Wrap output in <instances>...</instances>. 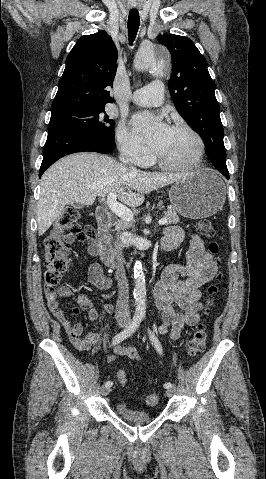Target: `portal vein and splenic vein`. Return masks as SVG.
I'll return each instance as SVG.
<instances>
[{"label":"portal vein and splenic vein","instance_id":"18ae733b","mask_svg":"<svg viewBox=\"0 0 266 479\" xmlns=\"http://www.w3.org/2000/svg\"><path fill=\"white\" fill-rule=\"evenodd\" d=\"M116 199H117L116 193L108 194L106 199V204L109 207V209L126 222L134 221V214L132 213V211L126 206L117 202ZM166 223H167L166 218H162L159 220V225H164Z\"/></svg>","mask_w":266,"mask_h":479}]
</instances>
